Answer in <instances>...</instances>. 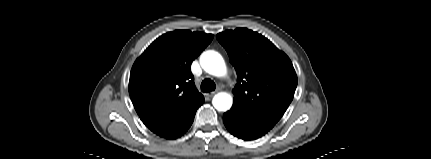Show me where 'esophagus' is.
<instances>
[{"label":"esophagus","mask_w":431,"mask_h":159,"mask_svg":"<svg viewBox=\"0 0 431 159\" xmlns=\"http://www.w3.org/2000/svg\"><path fill=\"white\" fill-rule=\"evenodd\" d=\"M218 90H216V91H212V92H208L207 94H206V96H208V97H212V96H214L215 94H216V92H217Z\"/></svg>","instance_id":"esophagus-1"}]
</instances>
